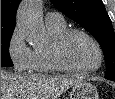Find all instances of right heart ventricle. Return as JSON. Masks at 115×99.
<instances>
[{"instance_id": "1", "label": "right heart ventricle", "mask_w": 115, "mask_h": 99, "mask_svg": "<svg viewBox=\"0 0 115 99\" xmlns=\"http://www.w3.org/2000/svg\"><path fill=\"white\" fill-rule=\"evenodd\" d=\"M47 30L51 37V43L45 48H37L34 51L33 56V65L32 71L39 74L53 73L58 71V69L53 64L50 57V48L52 42L65 30H67V26L65 22L60 24H46Z\"/></svg>"}]
</instances>
